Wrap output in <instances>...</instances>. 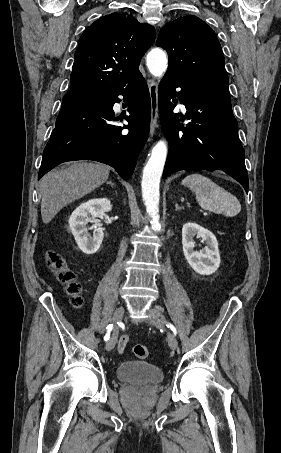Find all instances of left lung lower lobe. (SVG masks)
I'll list each match as a JSON object with an SVG mask.
<instances>
[{
	"mask_svg": "<svg viewBox=\"0 0 281 453\" xmlns=\"http://www.w3.org/2000/svg\"><path fill=\"white\" fill-rule=\"evenodd\" d=\"M178 87L181 91L176 92ZM158 94L162 127L169 141L163 178L181 170H222L248 192L244 149L238 138L229 90L186 86L166 73ZM174 97L186 106V116L172 112L175 104L170 100ZM184 119L191 122L184 126L180 124Z\"/></svg>",
	"mask_w": 281,
	"mask_h": 453,
	"instance_id": "0a47b994",
	"label": "left lung lower lobe"
}]
</instances>
